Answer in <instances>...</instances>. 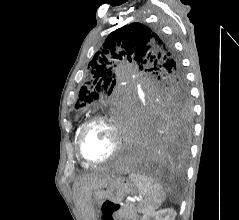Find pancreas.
I'll return each mask as SVG.
<instances>
[{
    "mask_svg": "<svg viewBox=\"0 0 239 220\" xmlns=\"http://www.w3.org/2000/svg\"><path fill=\"white\" fill-rule=\"evenodd\" d=\"M118 215L124 220H138L137 209L132 204L124 205L119 210Z\"/></svg>",
    "mask_w": 239,
    "mask_h": 220,
    "instance_id": "1",
    "label": "pancreas"
}]
</instances>
